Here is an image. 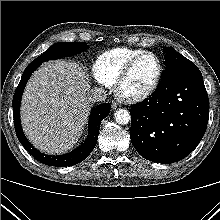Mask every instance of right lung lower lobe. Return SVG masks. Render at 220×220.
Instances as JSON below:
<instances>
[{
  "instance_id": "right-lung-lower-lobe-1",
  "label": "right lung lower lobe",
  "mask_w": 220,
  "mask_h": 220,
  "mask_svg": "<svg viewBox=\"0 0 220 220\" xmlns=\"http://www.w3.org/2000/svg\"><path fill=\"white\" fill-rule=\"evenodd\" d=\"M39 67L38 64H29V66L25 69L20 83L15 91L13 96V116H14V124H15V132L18 140L24 146V148L38 161L43 164L49 166L56 167H65L71 166L80 163L85 158L89 156L92 150L95 148L98 139L99 126L101 120L108 116L110 112V104L104 103L94 108L91 111L90 119H89V134L84 141L77 149L74 151L60 155V156H52L46 155L38 151L34 148L29 141L26 139L20 122V103L22 98V93L26 86V83L31 76V74Z\"/></svg>"
}]
</instances>
